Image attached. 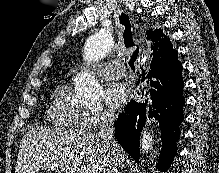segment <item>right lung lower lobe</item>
<instances>
[{"label":"right lung lower lobe","mask_w":219,"mask_h":173,"mask_svg":"<svg viewBox=\"0 0 219 173\" xmlns=\"http://www.w3.org/2000/svg\"><path fill=\"white\" fill-rule=\"evenodd\" d=\"M153 61V60H152ZM149 90L144 100H131L120 113L115 125V136L120 145L138 161L140 131L147 118H154L160 129L161 150L157 168L170 167L177 154L176 142L180 137L179 125L184 119L182 95L184 87L182 65L177 52L152 62L151 70L144 76ZM144 93V90H143Z\"/></svg>","instance_id":"obj_1"}]
</instances>
